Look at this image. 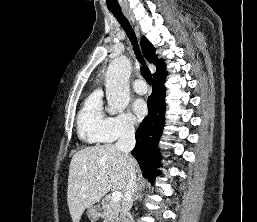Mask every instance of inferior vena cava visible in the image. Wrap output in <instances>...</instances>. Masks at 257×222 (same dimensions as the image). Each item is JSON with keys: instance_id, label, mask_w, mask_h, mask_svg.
Wrapping results in <instances>:
<instances>
[{"instance_id": "602c4592", "label": "inferior vena cava", "mask_w": 257, "mask_h": 222, "mask_svg": "<svg viewBox=\"0 0 257 222\" xmlns=\"http://www.w3.org/2000/svg\"><path fill=\"white\" fill-rule=\"evenodd\" d=\"M135 129L131 124L123 126L119 138L115 144L116 148L129 157L130 151L135 147ZM136 189V173L132 166L129 169V178L125 189L124 199L120 212V222L129 221V211L133 205L134 192Z\"/></svg>"}]
</instances>
